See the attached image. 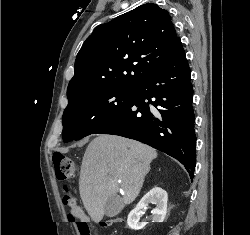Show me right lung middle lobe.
Instances as JSON below:
<instances>
[{
  "instance_id": "obj_1",
  "label": "right lung middle lobe",
  "mask_w": 250,
  "mask_h": 235,
  "mask_svg": "<svg viewBox=\"0 0 250 235\" xmlns=\"http://www.w3.org/2000/svg\"><path fill=\"white\" fill-rule=\"evenodd\" d=\"M132 89H101L68 103L63 121V141L79 140L94 133L115 116L131 99Z\"/></svg>"
}]
</instances>
